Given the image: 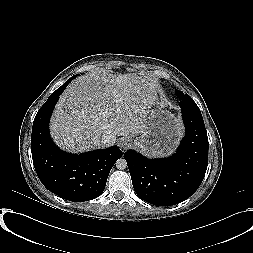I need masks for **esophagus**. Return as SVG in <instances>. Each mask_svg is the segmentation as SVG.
I'll return each instance as SVG.
<instances>
[{
  "instance_id": "esophagus-1",
  "label": "esophagus",
  "mask_w": 253,
  "mask_h": 253,
  "mask_svg": "<svg viewBox=\"0 0 253 253\" xmlns=\"http://www.w3.org/2000/svg\"><path fill=\"white\" fill-rule=\"evenodd\" d=\"M129 144H128V140L127 139H120L119 140V146L123 149V150H125L126 148H127V146H128Z\"/></svg>"
}]
</instances>
